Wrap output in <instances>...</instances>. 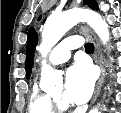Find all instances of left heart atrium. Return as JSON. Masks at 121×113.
<instances>
[{"mask_svg":"<svg viewBox=\"0 0 121 113\" xmlns=\"http://www.w3.org/2000/svg\"><path fill=\"white\" fill-rule=\"evenodd\" d=\"M94 79V71L88 63H75L66 72L65 100L72 104L86 103L92 94Z\"/></svg>","mask_w":121,"mask_h":113,"instance_id":"left-heart-atrium-1","label":"left heart atrium"}]
</instances>
